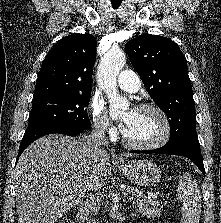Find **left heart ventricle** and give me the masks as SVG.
<instances>
[{
    "label": "left heart ventricle",
    "instance_id": "left-heart-ventricle-1",
    "mask_svg": "<svg viewBox=\"0 0 221 223\" xmlns=\"http://www.w3.org/2000/svg\"><path fill=\"white\" fill-rule=\"evenodd\" d=\"M127 117V112L122 119ZM163 124L160 117L152 111H134L124 130L131 141L137 143H150L158 139L162 133Z\"/></svg>",
    "mask_w": 221,
    "mask_h": 223
}]
</instances>
